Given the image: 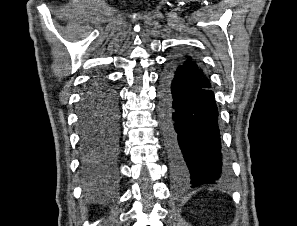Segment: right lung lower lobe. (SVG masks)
Masks as SVG:
<instances>
[{
  "label": "right lung lower lobe",
  "instance_id": "98d812e1",
  "mask_svg": "<svg viewBox=\"0 0 297 226\" xmlns=\"http://www.w3.org/2000/svg\"><path fill=\"white\" fill-rule=\"evenodd\" d=\"M81 174L88 188L116 179L119 108L111 83L101 77L89 82L80 100L78 113Z\"/></svg>",
  "mask_w": 297,
  "mask_h": 226
}]
</instances>
